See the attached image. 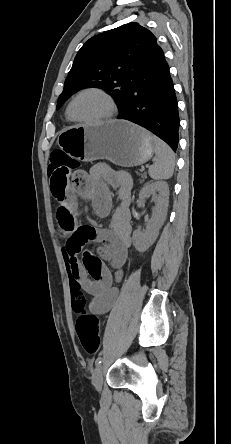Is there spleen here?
I'll return each mask as SVG.
<instances>
[{"label": "spleen", "instance_id": "obj_1", "mask_svg": "<svg viewBox=\"0 0 231 444\" xmlns=\"http://www.w3.org/2000/svg\"><path fill=\"white\" fill-rule=\"evenodd\" d=\"M155 162L149 167V175L154 180H166L172 177L175 168V154L161 139L153 137Z\"/></svg>", "mask_w": 231, "mask_h": 444}]
</instances>
